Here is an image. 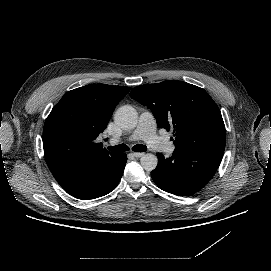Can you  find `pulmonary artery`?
<instances>
[{
    "instance_id": "obj_1",
    "label": "pulmonary artery",
    "mask_w": 271,
    "mask_h": 271,
    "mask_svg": "<svg viewBox=\"0 0 271 271\" xmlns=\"http://www.w3.org/2000/svg\"><path fill=\"white\" fill-rule=\"evenodd\" d=\"M131 141L144 140L147 143L154 145L168 154L174 152L175 146L166 141L164 138H160L156 135V124L151 112L144 111L141 113L138 119L136 129L128 138ZM121 138H110L109 143L111 145L118 144Z\"/></svg>"
}]
</instances>
